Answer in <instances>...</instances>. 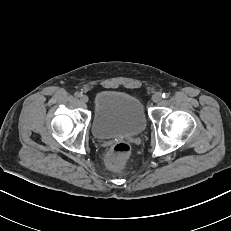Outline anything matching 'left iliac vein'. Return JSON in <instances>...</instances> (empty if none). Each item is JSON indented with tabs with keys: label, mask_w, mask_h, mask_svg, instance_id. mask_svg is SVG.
I'll return each instance as SVG.
<instances>
[{
	"label": "left iliac vein",
	"mask_w": 231,
	"mask_h": 231,
	"mask_svg": "<svg viewBox=\"0 0 231 231\" xmlns=\"http://www.w3.org/2000/svg\"><path fill=\"white\" fill-rule=\"evenodd\" d=\"M161 100H162V95H161V93H156V94H154L153 97H152V101H153L154 103H159V102H161Z\"/></svg>",
	"instance_id": "1"
}]
</instances>
